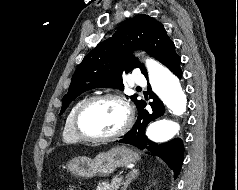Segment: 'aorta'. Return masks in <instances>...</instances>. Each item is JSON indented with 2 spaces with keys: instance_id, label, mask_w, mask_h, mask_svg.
<instances>
[{
  "instance_id": "obj_1",
  "label": "aorta",
  "mask_w": 238,
  "mask_h": 190,
  "mask_svg": "<svg viewBox=\"0 0 238 190\" xmlns=\"http://www.w3.org/2000/svg\"><path fill=\"white\" fill-rule=\"evenodd\" d=\"M146 67L153 92L169 109L179 116L186 110L187 98L179 79L158 62L148 59ZM179 131V124L169 118H160L151 123L147 129L148 138L156 143L171 140Z\"/></svg>"
}]
</instances>
